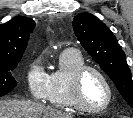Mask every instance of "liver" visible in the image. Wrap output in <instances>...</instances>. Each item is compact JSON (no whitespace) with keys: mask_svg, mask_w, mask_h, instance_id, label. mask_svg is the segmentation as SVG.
I'll list each match as a JSON object with an SVG mask.
<instances>
[{"mask_svg":"<svg viewBox=\"0 0 133 118\" xmlns=\"http://www.w3.org/2000/svg\"><path fill=\"white\" fill-rule=\"evenodd\" d=\"M0 118H73V114L23 100L0 101Z\"/></svg>","mask_w":133,"mask_h":118,"instance_id":"6515ba94","label":"liver"}]
</instances>
